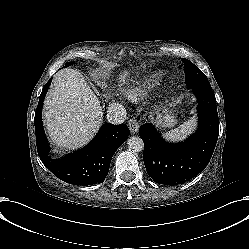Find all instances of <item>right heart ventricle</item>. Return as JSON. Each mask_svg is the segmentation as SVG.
Here are the masks:
<instances>
[{"instance_id":"1","label":"right heart ventricle","mask_w":249,"mask_h":249,"mask_svg":"<svg viewBox=\"0 0 249 249\" xmlns=\"http://www.w3.org/2000/svg\"><path fill=\"white\" fill-rule=\"evenodd\" d=\"M164 73L162 71H153L139 82L130 86L127 94L134 100L142 98L152 92L162 80Z\"/></svg>"}]
</instances>
